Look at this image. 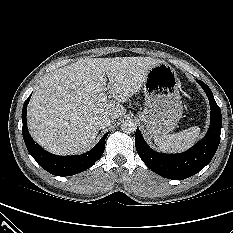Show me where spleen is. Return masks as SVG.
<instances>
[{
  "label": "spleen",
  "mask_w": 233,
  "mask_h": 233,
  "mask_svg": "<svg viewBox=\"0 0 233 233\" xmlns=\"http://www.w3.org/2000/svg\"><path fill=\"white\" fill-rule=\"evenodd\" d=\"M199 137L200 128L193 126L175 134L154 136V142L162 151L177 153L189 149Z\"/></svg>",
  "instance_id": "obj_1"
}]
</instances>
